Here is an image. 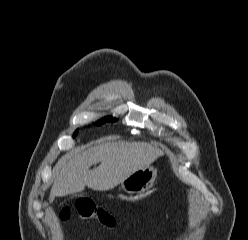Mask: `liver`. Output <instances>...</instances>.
Instances as JSON below:
<instances>
[{
	"instance_id": "obj_1",
	"label": "liver",
	"mask_w": 248,
	"mask_h": 240,
	"mask_svg": "<svg viewBox=\"0 0 248 240\" xmlns=\"http://www.w3.org/2000/svg\"><path fill=\"white\" fill-rule=\"evenodd\" d=\"M162 155L159 148L145 142L114 141L67 153L55 166L49 201L82 192L85 186L95 191L111 190L133 172L149 167ZM99 162L97 168L89 170Z\"/></svg>"
}]
</instances>
